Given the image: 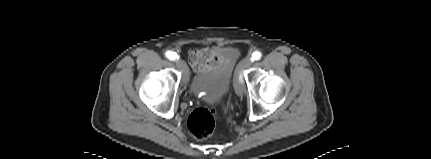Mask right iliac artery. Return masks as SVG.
Instances as JSON below:
<instances>
[{"label":"right iliac artery","mask_w":431,"mask_h":159,"mask_svg":"<svg viewBox=\"0 0 431 159\" xmlns=\"http://www.w3.org/2000/svg\"><path fill=\"white\" fill-rule=\"evenodd\" d=\"M166 57L168 59H170V60H175V59L179 58L178 55L175 52H172V51H167L166 52Z\"/></svg>","instance_id":"obj_1"}]
</instances>
